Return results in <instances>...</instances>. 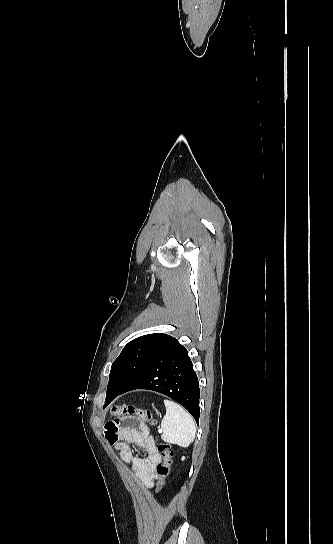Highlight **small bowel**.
<instances>
[{
	"label": "small bowel",
	"mask_w": 333,
	"mask_h": 544,
	"mask_svg": "<svg viewBox=\"0 0 333 544\" xmlns=\"http://www.w3.org/2000/svg\"><path fill=\"white\" fill-rule=\"evenodd\" d=\"M134 421L126 417L109 421L104 426V435L110 444L115 445L120 459L131 464L132 471L141 484L151 487L156 479L155 469L161 463V456L144 423H139L138 426L125 425L126 422ZM130 443L142 448L145 455L135 457Z\"/></svg>",
	"instance_id": "obj_1"
}]
</instances>
